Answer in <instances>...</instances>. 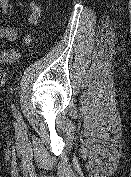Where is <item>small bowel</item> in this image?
<instances>
[{"instance_id":"c3829d8e","label":"small bowel","mask_w":131,"mask_h":177,"mask_svg":"<svg viewBox=\"0 0 131 177\" xmlns=\"http://www.w3.org/2000/svg\"><path fill=\"white\" fill-rule=\"evenodd\" d=\"M20 6L23 7V3L19 2ZM10 3L9 0H0V9L3 14H7L9 12ZM29 14L27 16V22L29 25L35 26L38 24L41 15L42 9L38 3L35 1L29 2ZM8 40L15 41L18 39V31L14 27L5 26L0 27V40ZM31 36L25 37V42L30 41ZM20 56L19 52L15 49L9 48L0 51V64L5 62H11L18 59Z\"/></svg>"}]
</instances>
